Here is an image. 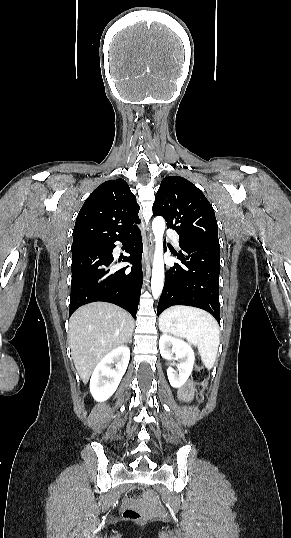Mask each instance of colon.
Returning a JSON list of instances; mask_svg holds the SVG:
<instances>
[{"mask_svg": "<svg viewBox=\"0 0 291 538\" xmlns=\"http://www.w3.org/2000/svg\"><path fill=\"white\" fill-rule=\"evenodd\" d=\"M193 381L197 387V401L201 402L203 399V391L207 385L208 381V372L202 366H198L193 373ZM142 496V490L137 487H132L127 491V498L129 500L135 501ZM124 517L129 520L134 521H143L146 519V516L139 511L134 509H126L124 511Z\"/></svg>", "mask_w": 291, "mask_h": 538, "instance_id": "obj_1", "label": "colon"}]
</instances>
